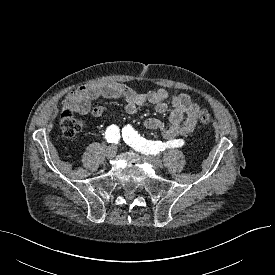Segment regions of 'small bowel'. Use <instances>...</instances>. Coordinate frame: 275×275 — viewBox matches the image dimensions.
Instances as JSON below:
<instances>
[{
	"label": "small bowel",
	"instance_id": "c3829d8e",
	"mask_svg": "<svg viewBox=\"0 0 275 275\" xmlns=\"http://www.w3.org/2000/svg\"><path fill=\"white\" fill-rule=\"evenodd\" d=\"M103 97L109 99H122L125 101V110L128 114H135L145 103H150L158 113H165L171 100L172 110L167 123L151 117L145 120L144 126L150 130H158L166 140H173L177 136L191 133L197 124L199 105L187 94L170 96L165 89L151 90L145 93L137 92L131 87L116 83H90L68 92L61 102L64 110L80 115L91 114L100 117L106 109L92 106L93 101Z\"/></svg>",
	"mask_w": 275,
	"mask_h": 275
}]
</instances>
